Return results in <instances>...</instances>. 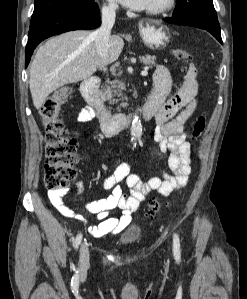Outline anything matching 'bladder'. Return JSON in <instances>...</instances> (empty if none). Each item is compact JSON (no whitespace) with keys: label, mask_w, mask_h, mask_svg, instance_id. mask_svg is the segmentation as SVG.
Instances as JSON below:
<instances>
[{"label":"bladder","mask_w":247,"mask_h":299,"mask_svg":"<svg viewBox=\"0 0 247 299\" xmlns=\"http://www.w3.org/2000/svg\"><path fill=\"white\" fill-rule=\"evenodd\" d=\"M142 237V230L139 227H131L127 229L119 238L122 245H131L138 242Z\"/></svg>","instance_id":"1"}]
</instances>
